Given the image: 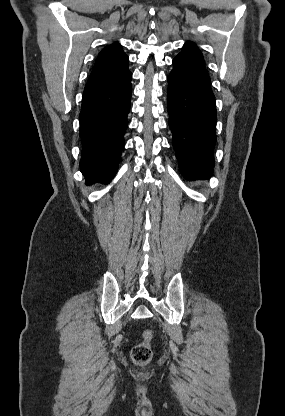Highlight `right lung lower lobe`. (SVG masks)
<instances>
[{
    "instance_id": "98d812e1",
    "label": "right lung lower lobe",
    "mask_w": 285,
    "mask_h": 416,
    "mask_svg": "<svg viewBox=\"0 0 285 416\" xmlns=\"http://www.w3.org/2000/svg\"><path fill=\"white\" fill-rule=\"evenodd\" d=\"M132 74L104 87L84 92L80 112V170L87 183L109 182L124 147L130 109Z\"/></svg>"
}]
</instances>
